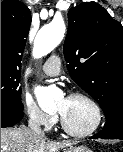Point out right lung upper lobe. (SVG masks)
<instances>
[{
  "mask_svg": "<svg viewBox=\"0 0 123 152\" xmlns=\"http://www.w3.org/2000/svg\"><path fill=\"white\" fill-rule=\"evenodd\" d=\"M31 24L27 6L19 0L1 2V68L20 70Z\"/></svg>",
  "mask_w": 123,
  "mask_h": 152,
  "instance_id": "cb5924a9",
  "label": "right lung upper lobe"
}]
</instances>
